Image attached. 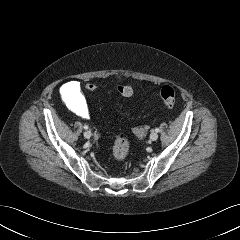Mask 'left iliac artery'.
Segmentation results:
<instances>
[{
	"label": "left iliac artery",
	"mask_w": 240,
	"mask_h": 240,
	"mask_svg": "<svg viewBox=\"0 0 240 240\" xmlns=\"http://www.w3.org/2000/svg\"><path fill=\"white\" fill-rule=\"evenodd\" d=\"M155 131H156V132H159V131H160V129H159V128H156V129H155Z\"/></svg>",
	"instance_id": "obj_1"
}]
</instances>
